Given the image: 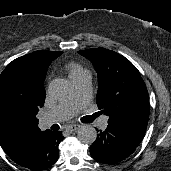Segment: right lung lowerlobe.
<instances>
[{
  "instance_id": "1",
  "label": "right lung lower lobe",
  "mask_w": 171,
  "mask_h": 171,
  "mask_svg": "<svg viewBox=\"0 0 171 171\" xmlns=\"http://www.w3.org/2000/svg\"><path fill=\"white\" fill-rule=\"evenodd\" d=\"M62 140L61 131L46 130L34 141L32 147L14 162L32 171L45 170L57 161L58 144Z\"/></svg>"
}]
</instances>
